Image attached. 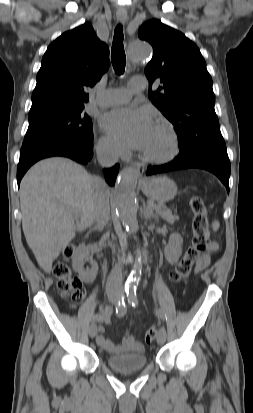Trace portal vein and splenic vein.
<instances>
[{
    "label": "portal vein and splenic vein",
    "instance_id": "1",
    "mask_svg": "<svg viewBox=\"0 0 253 413\" xmlns=\"http://www.w3.org/2000/svg\"><path fill=\"white\" fill-rule=\"evenodd\" d=\"M148 207H149L150 209H154V208H155V206H154L153 204H148ZM73 214H74L75 216H78V212H77V211H73Z\"/></svg>",
    "mask_w": 253,
    "mask_h": 413
}]
</instances>
